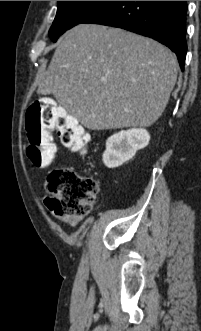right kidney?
<instances>
[{"label": "right kidney", "mask_w": 201, "mask_h": 331, "mask_svg": "<svg viewBox=\"0 0 201 331\" xmlns=\"http://www.w3.org/2000/svg\"><path fill=\"white\" fill-rule=\"evenodd\" d=\"M149 140L146 129L133 128L115 133L106 141L103 163L108 168L119 167L132 159L138 150L145 148Z\"/></svg>", "instance_id": "right-kidney-1"}]
</instances>
